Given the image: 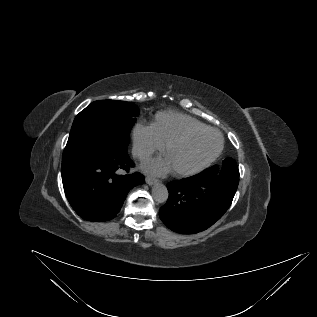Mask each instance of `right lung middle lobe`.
Instances as JSON below:
<instances>
[{
  "mask_svg": "<svg viewBox=\"0 0 317 317\" xmlns=\"http://www.w3.org/2000/svg\"><path fill=\"white\" fill-rule=\"evenodd\" d=\"M138 115L139 109L133 102L100 100L88 105L73 122L62 169L101 153L126 152Z\"/></svg>",
  "mask_w": 317,
  "mask_h": 317,
  "instance_id": "dd1d6c3e",
  "label": "right lung middle lobe"
}]
</instances>
